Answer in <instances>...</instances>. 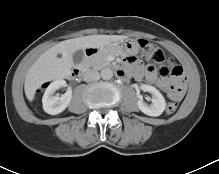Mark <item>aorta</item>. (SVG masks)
<instances>
[{
    "label": "aorta",
    "instance_id": "aorta-1",
    "mask_svg": "<svg viewBox=\"0 0 219 174\" xmlns=\"http://www.w3.org/2000/svg\"><path fill=\"white\" fill-rule=\"evenodd\" d=\"M100 74L104 80H110L113 77V71L111 68H104Z\"/></svg>",
    "mask_w": 219,
    "mask_h": 174
}]
</instances>
